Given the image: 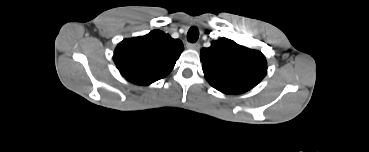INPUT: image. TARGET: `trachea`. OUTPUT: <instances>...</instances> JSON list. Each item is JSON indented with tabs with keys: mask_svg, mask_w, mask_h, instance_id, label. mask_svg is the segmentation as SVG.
I'll return each mask as SVG.
<instances>
[{
	"mask_svg": "<svg viewBox=\"0 0 369 152\" xmlns=\"http://www.w3.org/2000/svg\"><path fill=\"white\" fill-rule=\"evenodd\" d=\"M199 38V31L196 27H191L187 33V40L191 43H195Z\"/></svg>",
	"mask_w": 369,
	"mask_h": 152,
	"instance_id": "3493384b",
	"label": "trachea"
}]
</instances>
